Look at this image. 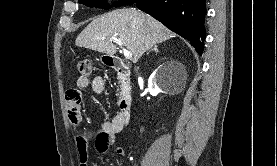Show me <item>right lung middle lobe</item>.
<instances>
[{
  "mask_svg": "<svg viewBox=\"0 0 277 166\" xmlns=\"http://www.w3.org/2000/svg\"><path fill=\"white\" fill-rule=\"evenodd\" d=\"M126 0H119L117 4L114 5V7H118L122 5ZM79 3H82L88 7H93V6H101L105 9H109L111 6L108 4H101V0H79Z\"/></svg>",
  "mask_w": 277,
  "mask_h": 166,
  "instance_id": "obj_1",
  "label": "right lung middle lobe"
}]
</instances>
